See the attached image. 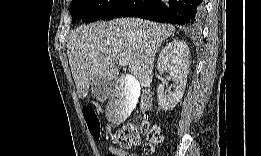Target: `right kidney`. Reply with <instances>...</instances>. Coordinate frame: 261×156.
Wrapping results in <instances>:
<instances>
[{
    "instance_id": "1",
    "label": "right kidney",
    "mask_w": 261,
    "mask_h": 156,
    "mask_svg": "<svg viewBox=\"0 0 261 156\" xmlns=\"http://www.w3.org/2000/svg\"><path fill=\"white\" fill-rule=\"evenodd\" d=\"M157 69L161 74L168 70L170 79L173 81V92L166 94L162 84H159L157 89L158 104L161 109L168 111L178 104L186 87L189 73L188 45L181 40H173L167 43L159 54Z\"/></svg>"
}]
</instances>
